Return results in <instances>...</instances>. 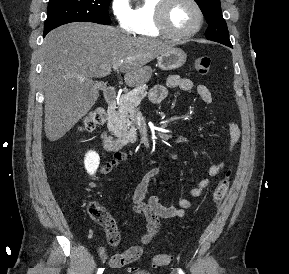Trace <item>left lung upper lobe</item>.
Segmentation results:
<instances>
[{
    "mask_svg": "<svg viewBox=\"0 0 289 274\" xmlns=\"http://www.w3.org/2000/svg\"><path fill=\"white\" fill-rule=\"evenodd\" d=\"M199 5L209 27L205 36L208 40L231 44L227 24L222 16L220 0H195Z\"/></svg>",
    "mask_w": 289,
    "mask_h": 274,
    "instance_id": "obj_1",
    "label": "left lung upper lobe"
}]
</instances>
